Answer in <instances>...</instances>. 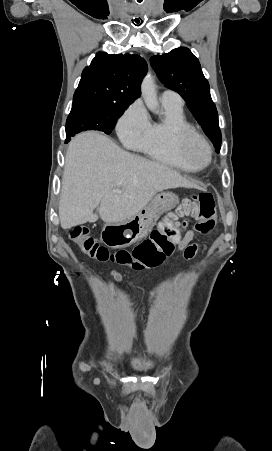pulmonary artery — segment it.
I'll use <instances>...</instances> for the list:
<instances>
[{
	"instance_id": "pulmonary-artery-1",
	"label": "pulmonary artery",
	"mask_w": 272,
	"mask_h": 451,
	"mask_svg": "<svg viewBox=\"0 0 272 451\" xmlns=\"http://www.w3.org/2000/svg\"><path fill=\"white\" fill-rule=\"evenodd\" d=\"M160 100L164 104H168L170 106H173L177 109L183 108V100L180 97L179 94L173 91L166 90L160 95Z\"/></svg>"
}]
</instances>
